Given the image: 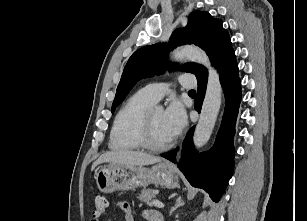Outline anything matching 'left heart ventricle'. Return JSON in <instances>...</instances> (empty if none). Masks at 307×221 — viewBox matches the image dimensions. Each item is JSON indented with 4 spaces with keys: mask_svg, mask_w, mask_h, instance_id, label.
<instances>
[{
    "mask_svg": "<svg viewBox=\"0 0 307 221\" xmlns=\"http://www.w3.org/2000/svg\"><path fill=\"white\" fill-rule=\"evenodd\" d=\"M152 140L156 144H164L171 140L165 125L164 112L162 110L155 109L153 111Z\"/></svg>",
    "mask_w": 307,
    "mask_h": 221,
    "instance_id": "b2bd125f",
    "label": "left heart ventricle"
}]
</instances>
